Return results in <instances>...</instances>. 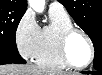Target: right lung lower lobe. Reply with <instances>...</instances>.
Here are the masks:
<instances>
[{
  "instance_id": "1",
  "label": "right lung lower lobe",
  "mask_w": 102,
  "mask_h": 75,
  "mask_svg": "<svg viewBox=\"0 0 102 75\" xmlns=\"http://www.w3.org/2000/svg\"><path fill=\"white\" fill-rule=\"evenodd\" d=\"M24 64L26 61L19 55L18 52L3 51L0 52V65L2 64Z\"/></svg>"
}]
</instances>
